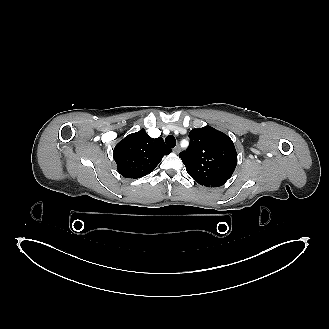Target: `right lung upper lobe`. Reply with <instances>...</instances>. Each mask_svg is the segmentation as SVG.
Masks as SVG:
<instances>
[{
    "label": "right lung upper lobe",
    "mask_w": 329,
    "mask_h": 329,
    "mask_svg": "<svg viewBox=\"0 0 329 329\" xmlns=\"http://www.w3.org/2000/svg\"><path fill=\"white\" fill-rule=\"evenodd\" d=\"M171 151L161 137L153 139L141 129L121 140L114 148L113 157L123 177L137 179L152 172Z\"/></svg>",
    "instance_id": "1"
}]
</instances>
